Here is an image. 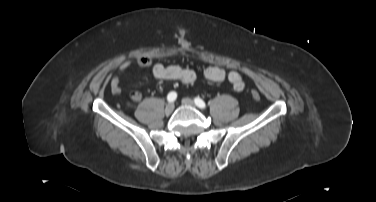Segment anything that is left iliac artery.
<instances>
[{"label":"left iliac artery","instance_id":"left-iliac-artery-1","mask_svg":"<svg viewBox=\"0 0 376 202\" xmlns=\"http://www.w3.org/2000/svg\"><path fill=\"white\" fill-rule=\"evenodd\" d=\"M194 102H195V104L199 107V108H205L206 107V104H205V102L201 99V98H199V97H196L195 99H194Z\"/></svg>","mask_w":376,"mask_h":202}]
</instances>
